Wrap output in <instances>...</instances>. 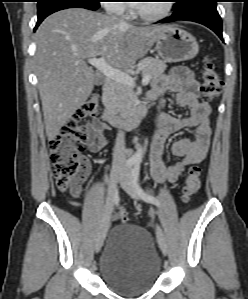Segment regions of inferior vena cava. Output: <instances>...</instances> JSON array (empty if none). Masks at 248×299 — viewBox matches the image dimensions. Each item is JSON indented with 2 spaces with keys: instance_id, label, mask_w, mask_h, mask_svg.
Masks as SVG:
<instances>
[{
  "instance_id": "602c4592",
  "label": "inferior vena cava",
  "mask_w": 248,
  "mask_h": 299,
  "mask_svg": "<svg viewBox=\"0 0 248 299\" xmlns=\"http://www.w3.org/2000/svg\"><path fill=\"white\" fill-rule=\"evenodd\" d=\"M114 7H112L113 9ZM114 19H117L113 16ZM121 24L125 22L120 21ZM126 163V155H125V134L119 130L116 137V142L113 150V166L114 167H123Z\"/></svg>"
}]
</instances>
